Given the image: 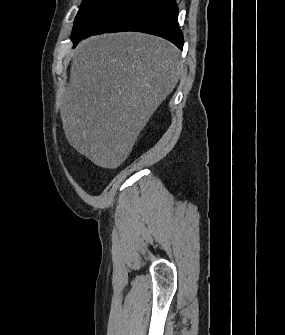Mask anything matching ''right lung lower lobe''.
I'll list each match as a JSON object with an SVG mask.
<instances>
[{
  "label": "right lung lower lobe",
  "instance_id": "obj_1",
  "mask_svg": "<svg viewBox=\"0 0 285 335\" xmlns=\"http://www.w3.org/2000/svg\"><path fill=\"white\" fill-rule=\"evenodd\" d=\"M137 31L165 38L182 49L175 0H120L88 29L83 38L100 33ZM77 45L74 44V47Z\"/></svg>",
  "mask_w": 285,
  "mask_h": 335
}]
</instances>
